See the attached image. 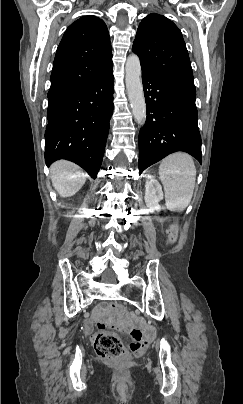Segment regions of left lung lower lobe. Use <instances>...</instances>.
<instances>
[{
  "label": "left lung lower lobe",
  "instance_id": "1",
  "mask_svg": "<svg viewBox=\"0 0 243 404\" xmlns=\"http://www.w3.org/2000/svg\"><path fill=\"white\" fill-rule=\"evenodd\" d=\"M142 80L147 119L139 133V174L177 151L202 163L194 83L144 70Z\"/></svg>",
  "mask_w": 243,
  "mask_h": 404
}]
</instances>
